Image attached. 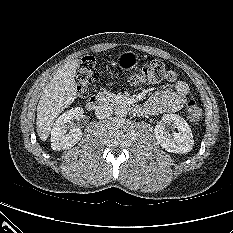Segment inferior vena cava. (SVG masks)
I'll use <instances>...</instances> for the list:
<instances>
[{"mask_svg": "<svg viewBox=\"0 0 233 233\" xmlns=\"http://www.w3.org/2000/svg\"><path fill=\"white\" fill-rule=\"evenodd\" d=\"M95 115L98 119H106L112 115V108L108 104H100L95 110Z\"/></svg>", "mask_w": 233, "mask_h": 233, "instance_id": "1", "label": "inferior vena cava"}]
</instances>
